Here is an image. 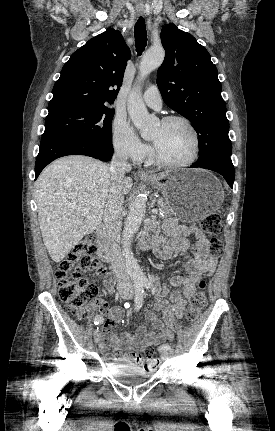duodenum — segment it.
Segmentation results:
<instances>
[{"label": "duodenum", "instance_id": "1", "mask_svg": "<svg viewBox=\"0 0 275 431\" xmlns=\"http://www.w3.org/2000/svg\"><path fill=\"white\" fill-rule=\"evenodd\" d=\"M95 236L98 243L99 258L103 262H110L112 259V253H111V248L106 236V231L104 226L101 225L96 229ZM151 245H152V242L150 240H144L141 243V248L146 250V249H149Z\"/></svg>", "mask_w": 275, "mask_h": 431}]
</instances>
